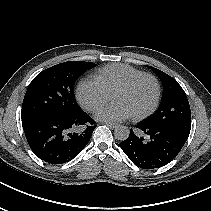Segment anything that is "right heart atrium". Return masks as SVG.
Masks as SVG:
<instances>
[{
	"mask_svg": "<svg viewBox=\"0 0 211 211\" xmlns=\"http://www.w3.org/2000/svg\"><path fill=\"white\" fill-rule=\"evenodd\" d=\"M77 98L88 111L94 112L109 98V93L96 78H86L77 87Z\"/></svg>",
	"mask_w": 211,
	"mask_h": 211,
	"instance_id": "d8ad5b80",
	"label": "right heart atrium"
}]
</instances>
